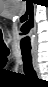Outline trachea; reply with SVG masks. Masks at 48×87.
Instances as JSON below:
<instances>
[{
    "label": "trachea",
    "mask_w": 48,
    "mask_h": 87,
    "mask_svg": "<svg viewBox=\"0 0 48 87\" xmlns=\"http://www.w3.org/2000/svg\"><path fill=\"white\" fill-rule=\"evenodd\" d=\"M21 53H22V60L24 64V72L29 77L37 78V74L32 66L31 52L29 50L22 49Z\"/></svg>",
    "instance_id": "1"
}]
</instances>
